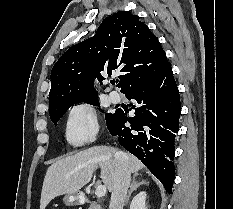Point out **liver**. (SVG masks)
I'll return each mask as SVG.
<instances>
[{
	"label": "liver",
	"mask_w": 233,
	"mask_h": 209,
	"mask_svg": "<svg viewBox=\"0 0 233 209\" xmlns=\"http://www.w3.org/2000/svg\"><path fill=\"white\" fill-rule=\"evenodd\" d=\"M115 148L94 146L54 162L47 170L40 199V209H45L57 196L76 193L90 182L94 171L100 168V178L108 189L113 190L117 170ZM129 169L137 174L144 165L133 155L122 152Z\"/></svg>",
	"instance_id": "1"
}]
</instances>
